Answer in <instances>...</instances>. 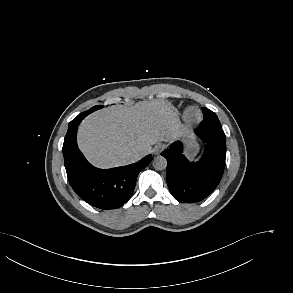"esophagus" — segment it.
<instances>
[{
	"label": "esophagus",
	"instance_id": "obj_1",
	"mask_svg": "<svg viewBox=\"0 0 293 293\" xmlns=\"http://www.w3.org/2000/svg\"><path fill=\"white\" fill-rule=\"evenodd\" d=\"M165 149V145L164 144H158L153 148V153L155 155H159L163 150Z\"/></svg>",
	"mask_w": 293,
	"mask_h": 293
}]
</instances>
